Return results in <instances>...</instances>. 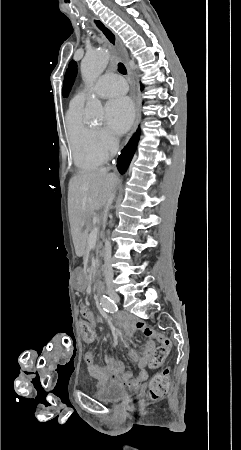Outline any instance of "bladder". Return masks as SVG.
Here are the masks:
<instances>
[{
    "label": "bladder",
    "mask_w": 241,
    "mask_h": 450,
    "mask_svg": "<svg viewBox=\"0 0 241 450\" xmlns=\"http://www.w3.org/2000/svg\"><path fill=\"white\" fill-rule=\"evenodd\" d=\"M126 389L123 385L110 383L106 387L96 390L95 396L102 401H115L124 398Z\"/></svg>",
    "instance_id": "31cf9c89"
}]
</instances>
